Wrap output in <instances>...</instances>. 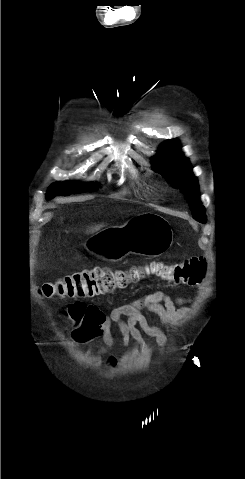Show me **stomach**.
Here are the masks:
<instances>
[{
  "instance_id": "1",
  "label": "stomach",
  "mask_w": 245,
  "mask_h": 479,
  "mask_svg": "<svg viewBox=\"0 0 245 479\" xmlns=\"http://www.w3.org/2000/svg\"><path fill=\"white\" fill-rule=\"evenodd\" d=\"M172 229L163 216L146 212L124 226L100 231L86 241V248L104 260L117 262L130 253L157 257L172 244Z\"/></svg>"
}]
</instances>
